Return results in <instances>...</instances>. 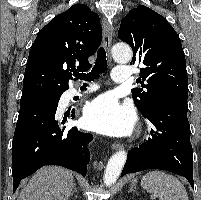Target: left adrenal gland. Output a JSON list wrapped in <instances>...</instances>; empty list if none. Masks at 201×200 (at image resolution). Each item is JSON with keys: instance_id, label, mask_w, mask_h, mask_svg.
Returning <instances> with one entry per match:
<instances>
[{"instance_id": "obj_1", "label": "left adrenal gland", "mask_w": 201, "mask_h": 200, "mask_svg": "<svg viewBox=\"0 0 201 200\" xmlns=\"http://www.w3.org/2000/svg\"><path fill=\"white\" fill-rule=\"evenodd\" d=\"M132 191H134V192H136L138 194V191L133 186H131L130 189H129V192H132Z\"/></svg>"}]
</instances>
